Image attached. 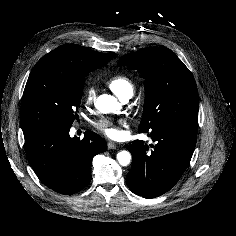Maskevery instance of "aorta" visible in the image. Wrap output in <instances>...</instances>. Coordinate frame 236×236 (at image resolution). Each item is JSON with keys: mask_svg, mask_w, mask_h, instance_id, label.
Listing matches in <instances>:
<instances>
[{"mask_svg": "<svg viewBox=\"0 0 236 236\" xmlns=\"http://www.w3.org/2000/svg\"><path fill=\"white\" fill-rule=\"evenodd\" d=\"M95 107L102 113H111L120 109V103L114 96L104 94L97 98ZM117 160L120 165L127 166L131 161V154L123 150L117 154Z\"/></svg>", "mask_w": 236, "mask_h": 236, "instance_id": "obj_1", "label": "aorta"}]
</instances>
